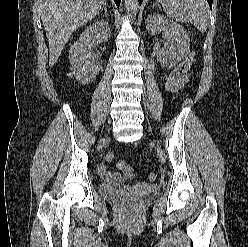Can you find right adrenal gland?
<instances>
[{"label":"right adrenal gland","mask_w":248,"mask_h":247,"mask_svg":"<svg viewBox=\"0 0 248 247\" xmlns=\"http://www.w3.org/2000/svg\"><path fill=\"white\" fill-rule=\"evenodd\" d=\"M103 11H104L105 16L107 17L108 13H107V4H106V2L103 4V7H102L100 12H103Z\"/></svg>","instance_id":"obj_1"}]
</instances>
